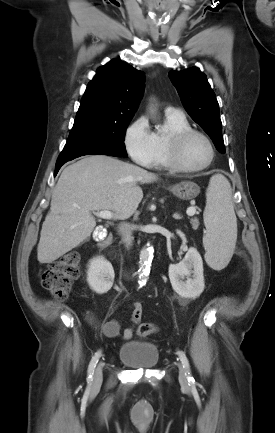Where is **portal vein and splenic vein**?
Segmentation results:
<instances>
[{"label": "portal vein and splenic vein", "mask_w": 275, "mask_h": 433, "mask_svg": "<svg viewBox=\"0 0 275 433\" xmlns=\"http://www.w3.org/2000/svg\"><path fill=\"white\" fill-rule=\"evenodd\" d=\"M188 216H193L196 213V208L191 206L186 211ZM96 216L102 219L111 220L114 218V214L111 211H99L95 213Z\"/></svg>", "instance_id": "18ae733b"}]
</instances>
